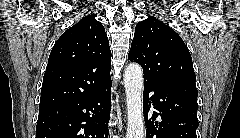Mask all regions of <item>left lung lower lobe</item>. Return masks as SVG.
I'll return each mask as SVG.
<instances>
[{"label": "left lung lower lobe", "instance_id": "0a47b994", "mask_svg": "<svg viewBox=\"0 0 240 138\" xmlns=\"http://www.w3.org/2000/svg\"><path fill=\"white\" fill-rule=\"evenodd\" d=\"M150 92H154L151 97ZM143 95L146 138H197L199 123L196 86H156L145 83ZM151 101L158 113L154 112L152 119L148 120ZM158 115L161 117L160 123L154 122Z\"/></svg>", "mask_w": 240, "mask_h": 138}]
</instances>
